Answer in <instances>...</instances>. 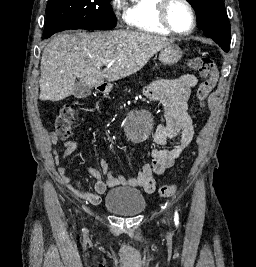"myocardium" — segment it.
Returning a JSON list of instances; mask_svg holds the SVG:
<instances>
[{
  "instance_id": "f54148a6",
  "label": "myocardium",
  "mask_w": 256,
  "mask_h": 267,
  "mask_svg": "<svg viewBox=\"0 0 256 267\" xmlns=\"http://www.w3.org/2000/svg\"><path fill=\"white\" fill-rule=\"evenodd\" d=\"M173 1H177V2L182 3L189 10V12L191 14L192 26H191L190 30L187 32H179V31L175 30L168 19V8H169L170 3ZM157 19H158L159 24L164 29L169 31L171 34L179 36V37L189 36L196 29L197 21H196L195 11L193 10L192 6L186 0H161L160 9H159V12L157 15Z\"/></svg>"
}]
</instances>
